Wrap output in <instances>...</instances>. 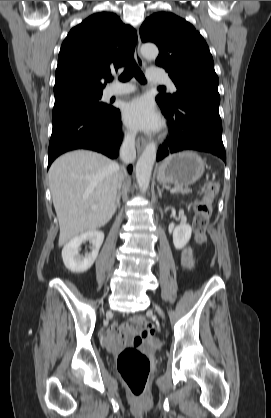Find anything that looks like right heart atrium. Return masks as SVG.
Instances as JSON below:
<instances>
[{
	"mask_svg": "<svg viewBox=\"0 0 271 418\" xmlns=\"http://www.w3.org/2000/svg\"><path fill=\"white\" fill-rule=\"evenodd\" d=\"M125 139H126V142L128 144H131V142H132V136L130 134H126Z\"/></svg>",
	"mask_w": 271,
	"mask_h": 418,
	"instance_id": "obj_1",
	"label": "right heart atrium"
}]
</instances>
